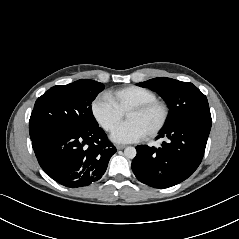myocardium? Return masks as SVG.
I'll return each instance as SVG.
<instances>
[{
    "label": "myocardium",
    "instance_id": "myocardium-1",
    "mask_svg": "<svg viewBox=\"0 0 239 239\" xmlns=\"http://www.w3.org/2000/svg\"><path fill=\"white\" fill-rule=\"evenodd\" d=\"M155 109L159 110L160 112V120L157 125L147 134L148 137L157 136L166 126L169 119L168 106L160 100H154L134 106L127 112L128 115L130 113H145Z\"/></svg>",
    "mask_w": 239,
    "mask_h": 239
}]
</instances>
